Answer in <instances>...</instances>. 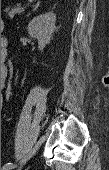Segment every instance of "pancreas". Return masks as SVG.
I'll return each mask as SVG.
<instances>
[{
	"mask_svg": "<svg viewBox=\"0 0 109 170\" xmlns=\"http://www.w3.org/2000/svg\"><path fill=\"white\" fill-rule=\"evenodd\" d=\"M24 8H21L20 6H16L14 8H6L4 11L7 13V15L10 18H13L16 14H20L23 12Z\"/></svg>",
	"mask_w": 109,
	"mask_h": 170,
	"instance_id": "cf45deb5",
	"label": "pancreas"
}]
</instances>
